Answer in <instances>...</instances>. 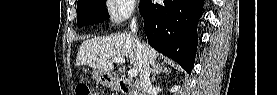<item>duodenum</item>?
Instances as JSON below:
<instances>
[{
    "label": "duodenum",
    "instance_id": "duodenum-1",
    "mask_svg": "<svg viewBox=\"0 0 277 95\" xmlns=\"http://www.w3.org/2000/svg\"><path fill=\"white\" fill-rule=\"evenodd\" d=\"M117 85L122 94L141 95V89L138 83H132L128 80L120 79L118 80Z\"/></svg>",
    "mask_w": 277,
    "mask_h": 95
}]
</instances>
